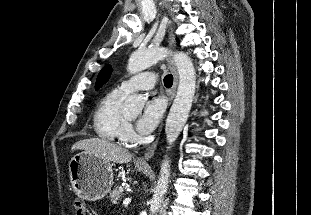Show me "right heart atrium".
I'll list each match as a JSON object with an SVG mask.
<instances>
[{"label": "right heart atrium", "mask_w": 311, "mask_h": 215, "mask_svg": "<svg viewBox=\"0 0 311 215\" xmlns=\"http://www.w3.org/2000/svg\"><path fill=\"white\" fill-rule=\"evenodd\" d=\"M124 137L125 140H132L135 137L134 130L129 123H127L125 127Z\"/></svg>", "instance_id": "obj_1"}]
</instances>
